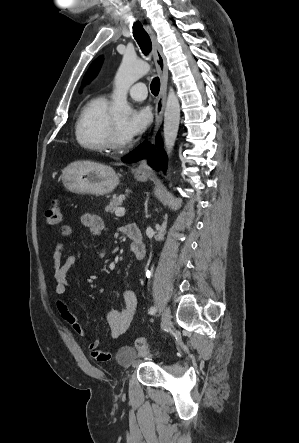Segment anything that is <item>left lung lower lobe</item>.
<instances>
[{
    "instance_id": "obj_1",
    "label": "left lung lower lobe",
    "mask_w": 299,
    "mask_h": 443,
    "mask_svg": "<svg viewBox=\"0 0 299 443\" xmlns=\"http://www.w3.org/2000/svg\"><path fill=\"white\" fill-rule=\"evenodd\" d=\"M156 147L158 150L154 146H151L150 143L144 142L132 152L122 157L121 160L125 163H134L140 159L147 158L148 164L155 170L159 171L162 168V170L165 171L167 157L162 149V141L159 135L156 138Z\"/></svg>"
}]
</instances>
